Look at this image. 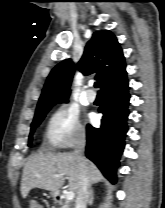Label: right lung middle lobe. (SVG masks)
Listing matches in <instances>:
<instances>
[{
    "instance_id": "obj_1",
    "label": "right lung middle lobe",
    "mask_w": 165,
    "mask_h": 208,
    "mask_svg": "<svg viewBox=\"0 0 165 208\" xmlns=\"http://www.w3.org/2000/svg\"><path fill=\"white\" fill-rule=\"evenodd\" d=\"M51 106H48V107L40 110L39 112H36L35 113V117H34L33 122L31 124V131H30V138H29V146L31 145L32 134H33L35 128L42 122V120L44 119L47 111L50 109Z\"/></svg>"
}]
</instances>
